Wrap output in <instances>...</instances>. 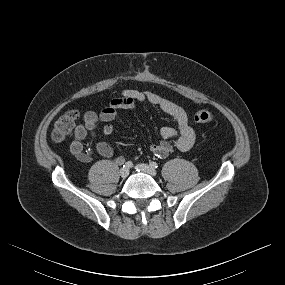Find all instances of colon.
Wrapping results in <instances>:
<instances>
[{
	"label": "colon",
	"instance_id": "obj_1",
	"mask_svg": "<svg viewBox=\"0 0 285 285\" xmlns=\"http://www.w3.org/2000/svg\"><path fill=\"white\" fill-rule=\"evenodd\" d=\"M79 113L76 110H70L61 116L54 125L52 139L55 142H61L71 136L75 130ZM194 120L197 123H209L212 120V114L207 109H199L194 114Z\"/></svg>",
	"mask_w": 285,
	"mask_h": 285
}]
</instances>
